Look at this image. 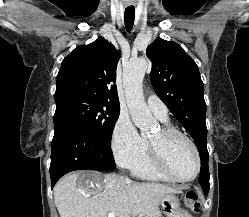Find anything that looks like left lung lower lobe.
Wrapping results in <instances>:
<instances>
[{
	"instance_id": "1",
	"label": "left lung lower lobe",
	"mask_w": 249,
	"mask_h": 217,
	"mask_svg": "<svg viewBox=\"0 0 249 217\" xmlns=\"http://www.w3.org/2000/svg\"><path fill=\"white\" fill-rule=\"evenodd\" d=\"M199 182L202 186V189H203L205 195H207L208 191H209V172H208V170L201 168Z\"/></svg>"
}]
</instances>
